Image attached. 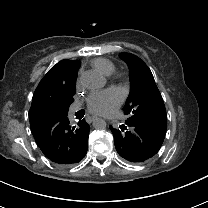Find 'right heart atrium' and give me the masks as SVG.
<instances>
[{"mask_svg": "<svg viewBox=\"0 0 208 208\" xmlns=\"http://www.w3.org/2000/svg\"><path fill=\"white\" fill-rule=\"evenodd\" d=\"M76 89L80 90L81 89V73L78 74L76 78V83H75Z\"/></svg>", "mask_w": 208, "mask_h": 208, "instance_id": "1", "label": "right heart atrium"}]
</instances>
